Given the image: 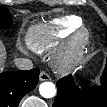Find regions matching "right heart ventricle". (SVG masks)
Here are the masks:
<instances>
[{
  "label": "right heart ventricle",
  "mask_w": 107,
  "mask_h": 107,
  "mask_svg": "<svg viewBox=\"0 0 107 107\" xmlns=\"http://www.w3.org/2000/svg\"><path fill=\"white\" fill-rule=\"evenodd\" d=\"M81 22L80 17L67 15L34 25L28 32V44L33 51L39 54L51 52L78 28Z\"/></svg>",
  "instance_id": "1"
}]
</instances>
